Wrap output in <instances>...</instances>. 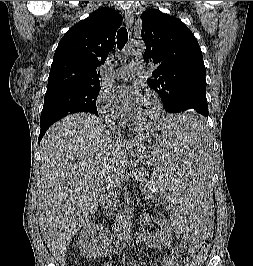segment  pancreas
Here are the masks:
<instances>
[{"label":"pancreas","mask_w":253,"mask_h":266,"mask_svg":"<svg viewBox=\"0 0 253 266\" xmlns=\"http://www.w3.org/2000/svg\"><path fill=\"white\" fill-rule=\"evenodd\" d=\"M138 178H139V181L142 182L141 190H142L143 195L145 196V198L154 200V198L152 197V193L151 192L148 191V193H146L147 192V180L144 177H142V176H139ZM150 195H151V197H150Z\"/></svg>","instance_id":"cf45deb5"}]
</instances>
